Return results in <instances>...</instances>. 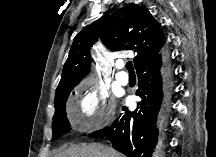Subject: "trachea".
<instances>
[{"mask_svg": "<svg viewBox=\"0 0 216 157\" xmlns=\"http://www.w3.org/2000/svg\"><path fill=\"white\" fill-rule=\"evenodd\" d=\"M126 69L128 70V72L130 74H134L135 73L134 72V68H133V64H132L131 61H129V62L126 63Z\"/></svg>", "mask_w": 216, "mask_h": 157, "instance_id": "3493384b", "label": "trachea"}]
</instances>
